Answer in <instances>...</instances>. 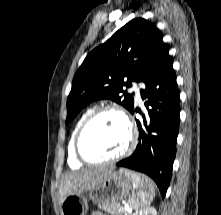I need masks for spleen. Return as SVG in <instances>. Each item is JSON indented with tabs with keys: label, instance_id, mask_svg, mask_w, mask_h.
<instances>
[{
	"label": "spleen",
	"instance_id": "1",
	"mask_svg": "<svg viewBox=\"0 0 221 215\" xmlns=\"http://www.w3.org/2000/svg\"><path fill=\"white\" fill-rule=\"evenodd\" d=\"M134 180L133 186L135 191L129 197L128 203L131 209L138 211L147 208L151 204L155 190L152 181L147 176H144L141 181L135 175Z\"/></svg>",
	"mask_w": 221,
	"mask_h": 215
}]
</instances>
